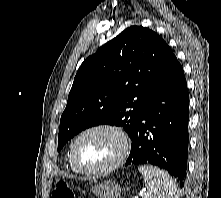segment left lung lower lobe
<instances>
[{
  "instance_id": "obj_1",
  "label": "left lung lower lobe",
  "mask_w": 221,
  "mask_h": 198,
  "mask_svg": "<svg viewBox=\"0 0 221 198\" xmlns=\"http://www.w3.org/2000/svg\"><path fill=\"white\" fill-rule=\"evenodd\" d=\"M189 94L174 56L162 82L146 100L131 135L126 164H153L182 181L188 157ZM183 187L184 183H180Z\"/></svg>"
}]
</instances>
